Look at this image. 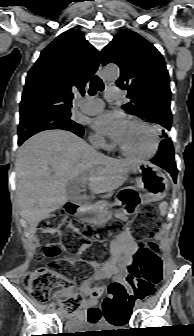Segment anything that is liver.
I'll use <instances>...</instances> for the list:
<instances>
[{"mask_svg": "<svg viewBox=\"0 0 194 336\" xmlns=\"http://www.w3.org/2000/svg\"><path fill=\"white\" fill-rule=\"evenodd\" d=\"M141 163L113 159L97 152L83 139L63 130H47L29 138L15 164L17 202L30 232L68 201L67 186L89 171L88 187L95 194L112 192Z\"/></svg>", "mask_w": 194, "mask_h": 336, "instance_id": "obj_1", "label": "liver"}]
</instances>
